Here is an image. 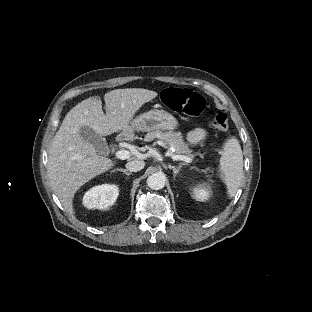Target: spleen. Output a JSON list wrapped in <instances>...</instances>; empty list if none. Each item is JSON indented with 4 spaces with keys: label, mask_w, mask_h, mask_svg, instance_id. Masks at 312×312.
<instances>
[{
    "label": "spleen",
    "mask_w": 312,
    "mask_h": 312,
    "mask_svg": "<svg viewBox=\"0 0 312 312\" xmlns=\"http://www.w3.org/2000/svg\"><path fill=\"white\" fill-rule=\"evenodd\" d=\"M243 158L239 141L231 137L220 151L218 178L226 187V197L231 199L237 192L242 178Z\"/></svg>",
    "instance_id": "obj_1"
}]
</instances>
